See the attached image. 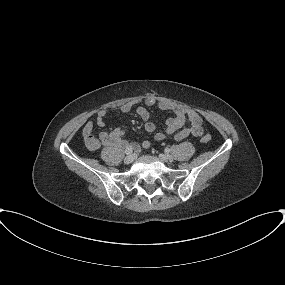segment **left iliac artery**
Here are the masks:
<instances>
[{
  "label": "left iliac artery",
  "instance_id": "left-iliac-artery-1",
  "mask_svg": "<svg viewBox=\"0 0 285 285\" xmlns=\"http://www.w3.org/2000/svg\"><path fill=\"white\" fill-rule=\"evenodd\" d=\"M165 152H166V153H169V152H170V149H169V148H166V149H165Z\"/></svg>",
  "mask_w": 285,
  "mask_h": 285
}]
</instances>
